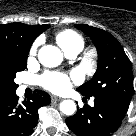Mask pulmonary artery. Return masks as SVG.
<instances>
[{"instance_id": "1", "label": "pulmonary artery", "mask_w": 136, "mask_h": 136, "mask_svg": "<svg viewBox=\"0 0 136 136\" xmlns=\"http://www.w3.org/2000/svg\"><path fill=\"white\" fill-rule=\"evenodd\" d=\"M79 52V50H72L70 52H67L66 55L69 58H75L79 54ZM91 104H93V102H91Z\"/></svg>"}]
</instances>
